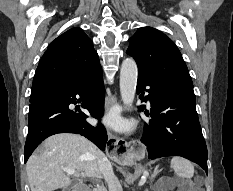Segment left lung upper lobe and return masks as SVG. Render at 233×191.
Returning a JSON list of instances; mask_svg holds the SVG:
<instances>
[{
	"label": "left lung upper lobe",
	"instance_id": "left-lung-upper-lobe-1",
	"mask_svg": "<svg viewBox=\"0 0 233 191\" xmlns=\"http://www.w3.org/2000/svg\"><path fill=\"white\" fill-rule=\"evenodd\" d=\"M129 41L126 53L136 60L139 72L193 91L187 66L169 37L154 28L142 27Z\"/></svg>",
	"mask_w": 233,
	"mask_h": 191
}]
</instances>
